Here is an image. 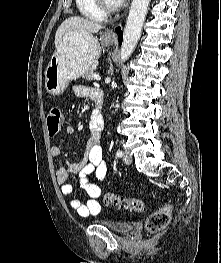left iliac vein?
Masks as SVG:
<instances>
[{
	"label": "left iliac vein",
	"mask_w": 221,
	"mask_h": 263,
	"mask_svg": "<svg viewBox=\"0 0 221 263\" xmlns=\"http://www.w3.org/2000/svg\"><path fill=\"white\" fill-rule=\"evenodd\" d=\"M123 161H124L126 164L132 163V157H131V155H130L128 152H125V153H124Z\"/></svg>",
	"instance_id": "left-iliac-vein-1"
}]
</instances>
